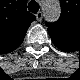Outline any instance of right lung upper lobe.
<instances>
[{"instance_id":"right-lung-upper-lobe-1","label":"right lung upper lobe","mask_w":80,"mask_h":80,"mask_svg":"<svg viewBox=\"0 0 80 80\" xmlns=\"http://www.w3.org/2000/svg\"><path fill=\"white\" fill-rule=\"evenodd\" d=\"M34 19L26 9V1L11 0L0 12V46L9 50L19 47Z\"/></svg>"}]
</instances>
